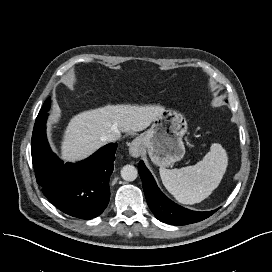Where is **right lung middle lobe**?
<instances>
[{"mask_svg":"<svg viewBox=\"0 0 272 272\" xmlns=\"http://www.w3.org/2000/svg\"><path fill=\"white\" fill-rule=\"evenodd\" d=\"M50 109V98H48L44 105L42 106L41 110L39 113H42V112H47L48 110Z\"/></svg>","mask_w":272,"mask_h":272,"instance_id":"right-lung-middle-lobe-1","label":"right lung middle lobe"}]
</instances>
